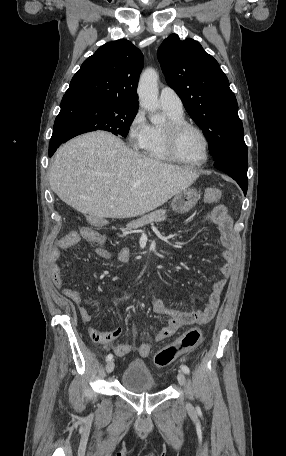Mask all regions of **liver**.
Masks as SVG:
<instances>
[{
	"label": "liver",
	"instance_id": "1",
	"mask_svg": "<svg viewBox=\"0 0 286 456\" xmlns=\"http://www.w3.org/2000/svg\"><path fill=\"white\" fill-rule=\"evenodd\" d=\"M191 168L129 149L106 132L78 136L60 147L49 183L58 197L96 219L128 218L163 205L197 178Z\"/></svg>",
	"mask_w": 286,
	"mask_h": 456
}]
</instances>
